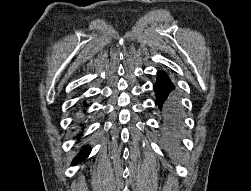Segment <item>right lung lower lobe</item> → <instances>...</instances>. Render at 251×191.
I'll return each mask as SVG.
<instances>
[{
  "instance_id": "98d812e1",
  "label": "right lung lower lobe",
  "mask_w": 251,
  "mask_h": 191,
  "mask_svg": "<svg viewBox=\"0 0 251 191\" xmlns=\"http://www.w3.org/2000/svg\"><path fill=\"white\" fill-rule=\"evenodd\" d=\"M84 112H86L84 110ZM80 126H84V124H80ZM81 135V133L79 134V136ZM91 151V148L88 147V146H83L81 151L78 153V155L73 159L72 161V165H76L78 164L79 162L83 161L90 153Z\"/></svg>"
}]
</instances>
